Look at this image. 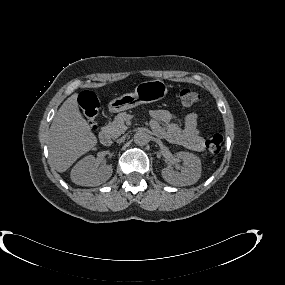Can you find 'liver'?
<instances>
[{
	"mask_svg": "<svg viewBox=\"0 0 285 285\" xmlns=\"http://www.w3.org/2000/svg\"><path fill=\"white\" fill-rule=\"evenodd\" d=\"M77 98L74 93L61 105L49 130V157L60 173L97 144L96 136L80 114Z\"/></svg>",
	"mask_w": 285,
	"mask_h": 285,
	"instance_id": "6515ba94",
	"label": "liver"
}]
</instances>
